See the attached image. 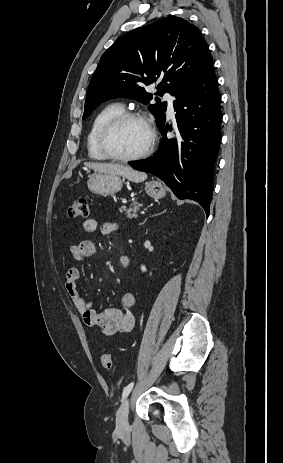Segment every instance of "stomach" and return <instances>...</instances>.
<instances>
[{"mask_svg":"<svg viewBox=\"0 0 283 463\" xmlns=\"http://www.w3.org/2000/svg\"><path fill=\"white\" fill-rule=\"evenodd\" d=\"M124 179L118 175L105 173H96L88 180V188L95 194L114 195L122 188ZM146 193L154 198L159 199L165 196L166 190L160 181L151 180L145 183Z\"/></svg>","mask_w":283,"mask_h":463,"instance_id":"1","label":"stomach"}]
</instances>
